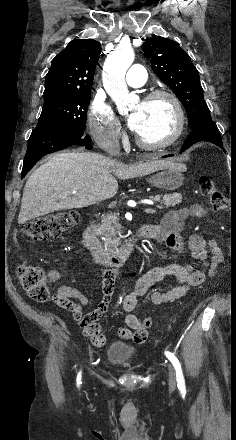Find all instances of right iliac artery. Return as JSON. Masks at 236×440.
I'll return each instance as SVG.
<instances>
[{
    "label": "right iliac artery",
    "mask_w": 236,
    "mask_h": 440,
    "mask_svg": "<svg viewBox=\"0 0 236 440\" xmlns=\"http://www.w3.org/2000/svg\"><path fill=\"white\" fill-rule=\"evenodd\" d=\"M121 301H122V297H120V302L119 303H121ZM80 384H81V372H79L78 376H77V386L79 387Z\"/></svg>",
    "instance_id": "right-iliac-artery-1"
}]
</instances>
